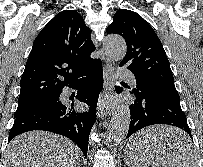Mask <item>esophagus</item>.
Masks as SVG:
<instances>
[{
    "label": "esophagus",
    "instance_id": "34e87169",
    "mask_svg": "<svg viewBox=\"0 0 203 167\" xmlns=\"http://www.w3.org/2000/svg\"><path fill=\"white\" fill-rule=\"evenodd\" d=\"M103 77H104V86L97 107V115L99 118H103L109 115L114 110V106H112L110 103V99L113 96L114 81H115L113 64L111 61H106V63L104 64Z\"/></svg>",
    "mask_w": 203,
    "mask_h": 167
}]
</instances>
